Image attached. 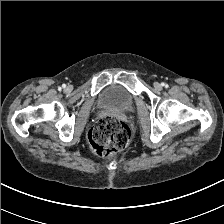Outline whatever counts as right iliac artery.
<instances>
[{"instance_id":"1","label":"right iliac artery","mask_w":224,"mask_h":224,"mask_svg":"<svg viewBox=\"0 0 224 224\" xmlns=\"http://www.w3.org/2000/svg\"><path fill=\"white\" fill-rule=\"evenodd\" d=\"M66 87V85L65 84H63V88H65Z\"/></svg>"}]
</instances>
